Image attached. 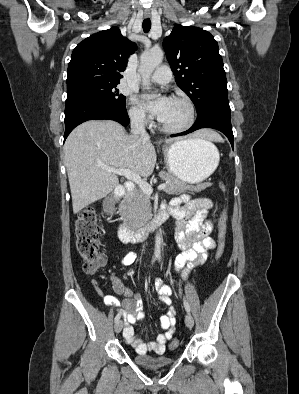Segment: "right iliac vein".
<instances>
[{
  "instance_id": "63e3f726",
  "label": "right iliac vein",
  "mask_w": 299,
  "mask_h": 394,
  "mask_svg": "<svg viewBox=\"0 0 299 394\" xmlns=\"http://www.w3.org/2000/svg\"><path fill=\"white\" fill-rule=\"evenodd\" d=\"M123 328V321L122 320H118L115 324V332L118 334L121 332Z\"/></svg>"
}]
</instances>
